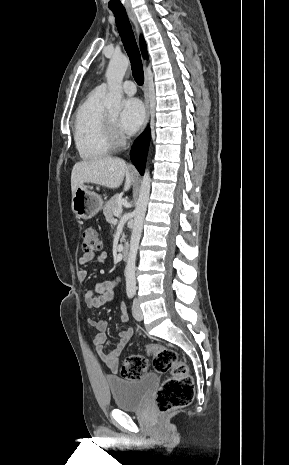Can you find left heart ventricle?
Returning a JSON list of instances; mask_svg holds the SVG:
<instances>
[{
  "mask_svg": "<svg viewBox=\"0 0 289 465\" xmlns=\"http://www.w3.org/2000/svg\"><path fill=\"white\" fill-rule=\"evenodd\" d=\"M109 115L114 121H116V118H117V113L116 112H111Z\"/></svg>",
  "mask_w": 289,
  "mask_h": 465,
  "instance_id": "1",
  "label": "left heart ventricle"
}]
</instances>
